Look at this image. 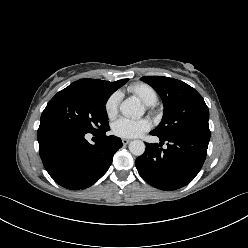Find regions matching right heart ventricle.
Listing matches in <instances>:
<instances>
[{"label": "right heart ventricle", "instance_id": "obj_1", "mask_svg": "<svg viewBox=\"0 0 248 248\" xmlns=\"http://www.w3.org/2000/svg\"><path fill=\"white\" fill-rule=\"evenodd\" d=\"M128 91L136 95L144 104L155 105L158 101V94L155 89L146 83H134L128 87Z\"/></svg>", "mask_w": 248, "mask_h": 248}]
</instances>
